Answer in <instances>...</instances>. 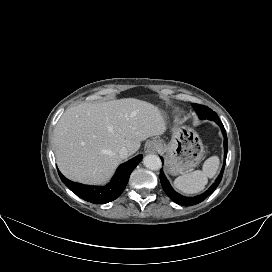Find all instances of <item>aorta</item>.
<instances>
[{
    "label": "aorta",
    "instance_id": "1",
    "mask_svg": "<svg viewBox=\"0 0 272 272\" xmlns=\"http://www.w3.org/2000/svg\"><path fill=\"white\" fill-rule=\"evenodd\" d=\"M143 164L150 170H159L161 168V160L157 155L148 154L143 158Z\"/></svg>",
    "mask_w": 272,
    "mask_h": 272
}]
</instances>
